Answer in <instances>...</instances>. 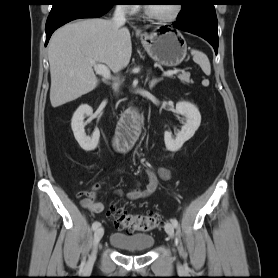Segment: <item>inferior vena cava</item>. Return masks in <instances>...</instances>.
<instances>
[{"label": "inferior vena cava", "instance_id": "1", "mask_svg": "<svg viewBox=\"0 0 278 278\" xmlns=\"http://www.w3.org/2000/svg\"><path fill=\"white\" fill-rule=\"evenodd\" d=\"M128 7L126 5H117L112 17V24L115 27L122 26L126 22V13ZM119 87L118 83H115L113 88L116 91Z\"/></svg>", "mask_w": 278, "mask_h": 278}]
</instances>
